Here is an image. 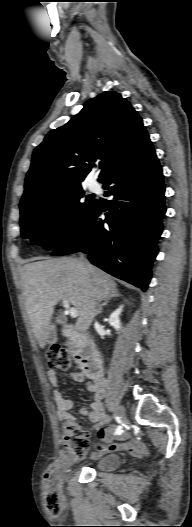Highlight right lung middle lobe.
Wrapping results in <instances>:
<instances>
[{"label": "right lung middle lobe", "mask_w": 192, "mask_h": 527, "mask_svg": "<svg viewBox=\"0 0 192 527\" xmlns=\"http://www.w3.org/2000/svg\"><path fill=\"white\" fill-rule=\"evenodd\" d=\"M81 187L64 192L50 200L20 206L21 234L32 243L52 250L68 241L83 225L96 201L82 202ZM67 221V226L54 233L57 222Z\"/></svg>", "instance_id": "dd1d6c3e"}]
</instances>
